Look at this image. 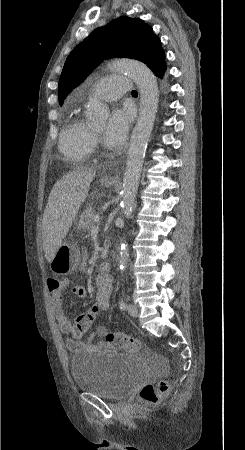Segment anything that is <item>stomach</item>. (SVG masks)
Masks as SVG:
<instances>
[{
	"label": "stomach",
	"instance_id": "obj_1",
	"mask_svg": "<svg viewBox=\"0 0 245 450\" xmlns=\"http://www.w3.org/2000/svg\"><path fill=\"white\" fill-rule=\"evenodd\" d=\"M103 185L109 187L113 184L110 181L102 182ZM80 263L79 250L71 243L65 242L56 251L51 263L50 268L53 272L60 275H67L72 273Z\"/></svg>",
	"mask_w": 245,
	"mask_h": 450
}]
</instances>
